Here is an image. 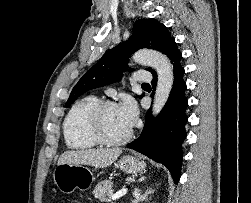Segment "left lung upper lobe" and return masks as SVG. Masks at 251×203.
I'll return each instance as SVG.
<instances>
[{
    "instance_id": "left-lung-upper-lobe-1",
    "label": "left lung upper lobe",
    "mask_w": 251,
    "mask_h": 203,
    "mask_svg": "<svg viewBox=\"0 0 251 203\" xmlns=\"http://www.w3.org/2000/svg\"><path fill=\"white\" fill-rule=\"evenodd\" d=\"M174 38L160 22L150 19L137 20L133 26V35L125 43L108 50L92 66L73 88L65 106L73 103L83 93L119 81L127 69L131 54L142 48H153L166 54ZM146 70L152 72L151 68ZM133 71V69H130ZM140 96V98H142Z\"/></svg>"
}]
</instances>
